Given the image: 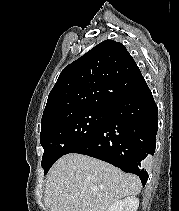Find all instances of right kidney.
Segmentation results:
<instances>
[{
  "instance_id": "right-kidney-1",
  "label": "right kidney",
  "mask_w": 179,
  "mask_h": 211,
  "mask_svg": "<svg viewBox=\"0 0 179 211\" xmlns=\"http://www.w3.org/2000/svg\"><path fill=\"white\" fill-rule=\"evenodd\" d=\"M139 199L135 196H128L113 203L107 211H137Z\"/></svg>"
}]
</instances>
